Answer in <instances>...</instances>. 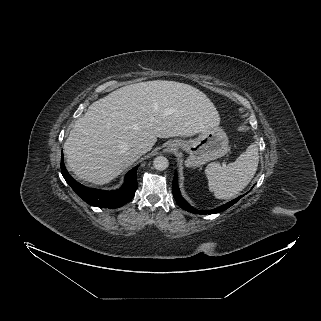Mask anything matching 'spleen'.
<instances>
[{"instance_id": "spleen-1", "label": "spleen", "mask_w": 321, "mask_h": 321, "mask_svg": "<svg viewBox=\"0 0 321 321\" xmlns=\"http://www.w3.org/2000/svg\"><path fill=\"white\" fill-rule=\"evenodd\" d=\"M259 162L258 147L252 143L236 161L223 166L210 163L205 169L209 190L218 199H227L242 191L254 177Z\"/></svg>"}]
</instances>
